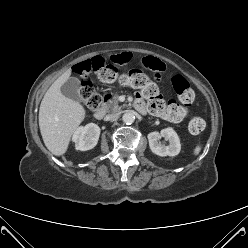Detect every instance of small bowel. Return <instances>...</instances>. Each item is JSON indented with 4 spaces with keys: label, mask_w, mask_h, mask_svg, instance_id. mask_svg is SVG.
Segmentation results:
<instances>
[{
    "label": "small bowel",
    "mask_w": 248,
    "mask_h": 248,
    "mask_svg": "<svg viewBox=\"0 0 248 248\" xmlns=\"http://www.w3.org/2000/svg\"><path fill=\"white\" fill-rule=\"evenodd\" d=\"M110 60L113 62V63H116V64H126L128 63L130 60H131V56L129 53L127 52H122V53H119V54H116V55H113ZM144 66L150 70H153V71H157V72H160V71H163L164 70V64L156 59V58H146L143 62ZM136 102L140 103L141 104V109L140 111L141 112H145V105L143 103V101L141 100L140 97H138V99L136 100ZM181 119V118H180ZM180 119L178 120H172L174 122H178L180 121Z\"/></svg>",
    "instance_id": "small-bowel-1"
}]
</instances>
